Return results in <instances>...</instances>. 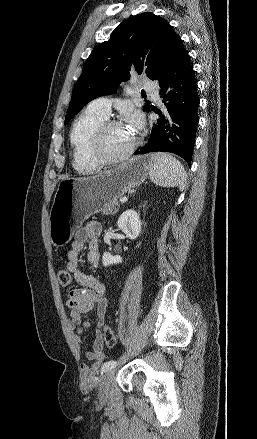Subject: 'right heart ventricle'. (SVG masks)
Wrapping results in <instances>:
<instances>
[{
  "label": "right heart ventricle",
  "mask_w": 257,
  "mask_h": 439,
  "mask_svg": "<svg viewBox=\"0 0 257 439\" xmlns=\"http://www.w3.org/2000/svg\"><path fill=\"white\" fill-rule=\"evenodd\" d=\"M107 117L87 108L74 122L70 131L73 167L80 173H93L99 166L91 152V138Z\"/></svg>",
  "instance_id": "obj_1"
}]
</instances>
